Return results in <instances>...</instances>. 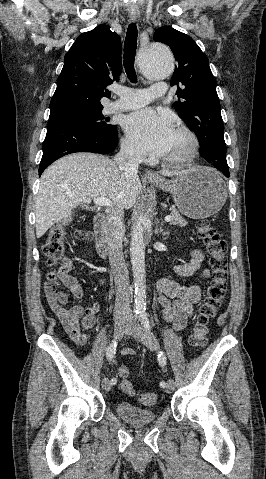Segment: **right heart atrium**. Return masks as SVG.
<instances>
[{"label": "right heart atrium", "mask_w": 266, "mask_h": 479, "mask_svg": "<svg viewBox=\"0 0 266 479\" xmlns=\"http://www.w3.org/2000/svg\"><path fill=\"white\" fill-rule=\"evenodd\" d=\"M121 144L122 151L125 156L135 160L141 159V153L138 151V149L135 147V145L129 138H123Z\"/></svg>", "instance_id": "obj_1"}]
</instances>
